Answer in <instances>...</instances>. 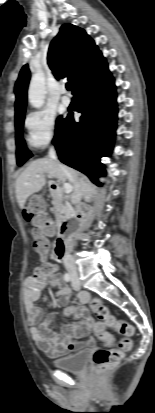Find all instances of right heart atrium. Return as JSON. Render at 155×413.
<instances>
[{
    "instance_id": "1",
    "label": "right heart atrium",
    "mask_w": 155,
    "mask_h": 413,
    "mask_svg": "<svg viewBox=\"0 0 155 413\" xmlns=\"http://www.w3.org/2000/svg\"><path fill=\"white\" fill-rule=\"evenodd\" d=\"M27 142L35 150L45 148L55 136V117L48 111H34L25 119Z\"/></svg>"
}]
</instances>
